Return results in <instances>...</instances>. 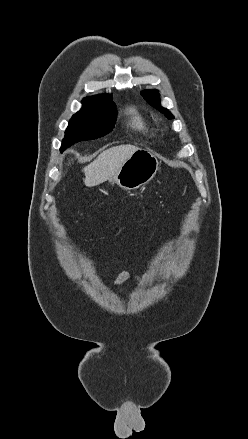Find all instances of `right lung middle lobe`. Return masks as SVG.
I'll return each mask as SVG.
<instances>
[{
	"instance_id": "right-lung-middle-lobe-1",
	"label": "right lung middle lobe",
	"mask_w": 248,
	"mask_h": 439,
	"mask_svg": "<svg viewBox=\"0 0 248 439\" xmlns=\"http://www.w3.org/2000/svg\"><path fill=\"white\" fill-rule=\"evenodd\" d=\"M116 116V110L83 106L69 121L61 151L74 143L108 134L115 124Z\"/></svg>"
}]
</instances>
